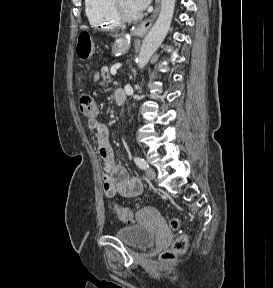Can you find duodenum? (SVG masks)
Returning a JSON list of instances; mask_svg holds the SVG:
<instances>
[{
  "mask_svg": "<svg viewBox=\"0 0 273 288\" xmlns=\"http://www.w3.org/2000/svg\"><path fill=\"white\" fill-rule=\"evenodd\" d=\"M115 100L119 105H123L126 101V94L124 91L117 90L115 92Z\"/></svg>",
  "mask_w": 273,
  "mask_h": 288,
  "instance_id": "obj_1",
  "label": "duodenum"
}]
</instances>
